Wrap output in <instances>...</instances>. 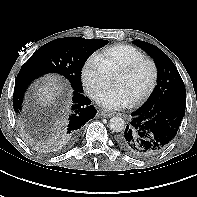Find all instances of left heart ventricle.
<instances>
[{
    "label": "left heart ventricle",
    "instance_id": "1",
    "mask_svg": "<svg viewBox=\"0 0 197 197\" xmlns=\"http://www.w3.org/2000/svg\"><path fill=\"white\" fill-rule=\"evenodd\" d=\"M151 78V67L144 64L130 76H116L113 84L124 89L133 101L148 88Z\"/></svg>",
    "mask_w": 197,
    "mask_h": 197
}]
</instances>
